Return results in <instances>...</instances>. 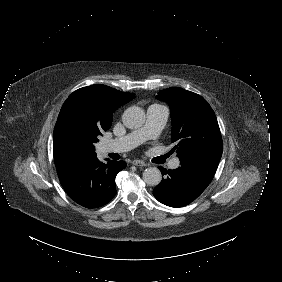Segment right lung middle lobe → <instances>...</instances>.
Returning <instances> with one entry per match:
<instances>
[{
	"label": "right lung middle lobe",
	"mask_w": 282,
	"mask_h": 282,
	"mask_svg": "<svg viewBox=\"0 0 282 282\" xmlns=\"http://www.w3.org/2000/svg\"><path fill=\"white\" fill-rule=\"evenodd\" d=\"M101 135V132H99L96 129L89 128V127H83L79 128L75 132V137L81 141L87 142L89 144H93L98 141L97 136Z\"/></svg>",
	"instance_id": "right-lung-middle-lobe-1"
}]
</instances>
